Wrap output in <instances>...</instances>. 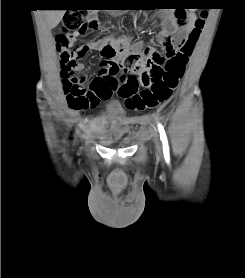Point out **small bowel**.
Segmentation results:
<instances>
[{"label": "small bowel", "instance_id": "obj_1", "mask_svg": "<svg viewBox=\"0 0 245 278\" xmlns=\"http://www.w3.org/2000/svg\"><path fill=\"white\" fill-rule=\"evenodd\" d=\"M157 15L161 18V27L156 34V42L164 47L166 56L169 57L179 51V44L184 41L187 35L194 29L195 16L193 14H189L181 17H175L171 16L167 10L161 8L158 10ZM82 34V31L76 32L69 38V40H76ZM87 47L90 50H100L104 60L103 73L96 77L93 81L99 97L98 104L112 96L108 78L114 75L119 69V65L116 61L119 55L121 56V66L126 71L130 72L135 69H145L147 63L154 64L156 56L159 54L157 49L151 45H139V52L129 51L128 42L126 40H93L88 43ZM142 56L149 59L144 61ZM70 70L73 72H79L83 70V65L76 61L74 65L70 67ZM63 84H65L64 81ZM129 121L146 124L149 121V118H133ZM105 126V119L98 118L90 124L89 132L99 137Z\"/></svg>", "mask_w": 245, "mask_h": 278}]
</instances>
